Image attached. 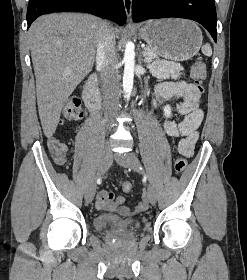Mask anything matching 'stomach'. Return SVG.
<instances>
[{"label":"stomach","instance_id":"stomach-1","mask_svg":"<svg viewBox=\"0 0 247 280\" xmlns=\"http://www.w3.org/2000/svg\"><path fill=\"white\" fill-rule=\"evenodd\" d=\"M139 35L157 55L178 62L195 56L203 40L193 21L178 18L147 21L139 28Z\"/></svg>","mask_w":247,"mask_h":280}]
</instances>
